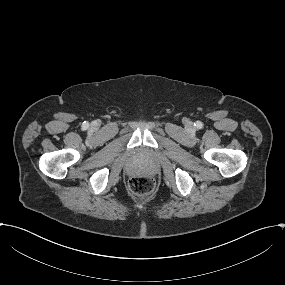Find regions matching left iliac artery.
Returning a JSON list of instances; mask_svg holds the SVG:
<instances>
[{"mask_svg":"<svg viewBox=\"0 0 285 285\" xmlns=\"http://www.w3.org/2000/svg\"><path fill=\"white\" fill-rule=\"evenodd\" d=\"M194 125L199 129H201L203 127V124L200 121H197L196 123H194Z\"/></svg>","mask_w":285,"mask_h":285,"instance_id":"obj_1","label":"left iliac artery"}]
</instances>
